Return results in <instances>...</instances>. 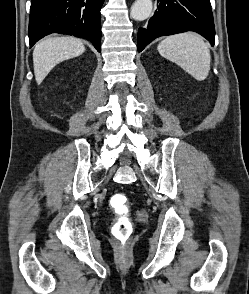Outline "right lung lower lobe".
<instances>
[{
  "label": "right lung lower lobe",
  "instance_id": "1",
  "mask_svg": "<svg viewBox=\"0 0 249 294\" xmlns=\"http://www.w3.org/2000/svg\"><path fill=\"white\" fill-rule=\"evenodd\" d=\"M104 0H32L28 36L30 47L50 33L85 38L101 52Z\"/></svg>",
  "mask_w": 249,
  "mask_h": 294
}]
</instances>
